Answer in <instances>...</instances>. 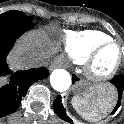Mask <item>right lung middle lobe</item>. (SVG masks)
<instances>
[{
  "instance_id": "obj_1",
  "label": "right lung middle lobe",
  "mask_w": 124,
  "mask_h": 124,
  "mask_svg": "<svg viewBox=\"0 0 124 124\" xmlns=\"http://www.w3.org/2000/svg\"><path fill=\"white\" fill-rule=\"evenodd\" d=\"M30 21L31 18L21 11L11 10L0 14V23H24Z\"/></svg>"
}]
</instances>
